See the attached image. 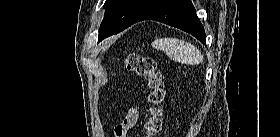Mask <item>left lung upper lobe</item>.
Returning a JSON list of instances; mask_svg holds the SVG:
<instances>
[{"label": "left lung upper lobe", "mask_w": 280, "mask_h": 137, "mask_svg": "<svg viewBox=\"0 0 280 137\" xmlns=\"http://www.w3.org/2000/svg\"><path fill=\"white\" fill-rule=\"evenodd\" d=\"M161 0H106L105 15L99 29V41L117 34L150 11Z\"/></svg>", "instance_id": "1"}]
</instances>
